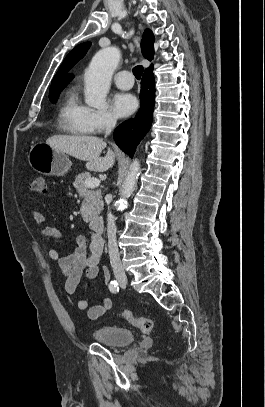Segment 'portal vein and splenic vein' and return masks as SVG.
<instances>
[{
  "mask_svg": "<svg viewBox=\"0 0 265 407\" xmlns=\"http://www.w3.org/2000/svg\"><path fill=\"white\" fill-rule=\"evenodd\" d=\"M100 184V180L97 178H90L85 180L84 185L88 188H95L98 187Z\"/></svg>",
  "mask_w": 265,
  "mask_h": 407,
  "instance_id": "1",
  "label": "portal vein and splenic vein"
}]
</instances>
